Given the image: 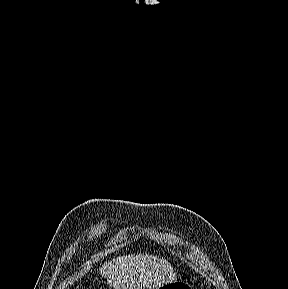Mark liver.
Wrapping results in <instances>:
<instances>
[{"label":"liver","mask_w":288,"mask_h":289,"mask_svg":"<svg viewBox=\"0 0 288 289\" xmlns=\"http://www.w3.org/2000/svg\"><path fill=\"white\" fill-rule=\"evenodd\" d=\"M114 289H154L176 281V272L165 259L154 255L120 256L99 269Z\"/></svg>","instance_id":"liver-1"}]
</instances>
